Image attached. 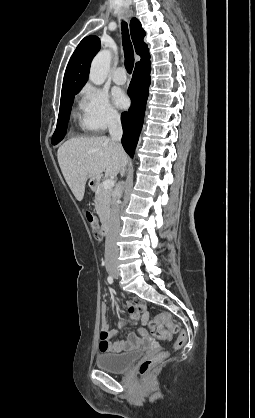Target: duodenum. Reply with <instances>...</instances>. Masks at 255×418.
<instances>
[{
	"instance_id": "410a0bca",
	"label": "duodenum",
	"mask_w": 255,
	"mask_h": 418,
	"mask_svg": "<svg viewBox=\"0 0 255 418\" xmlns=\"http://www.w3.org/2000/svg\"><path fill=\"white\" fill-rule=\"evenodd\" d=\"M96 185H97V183L95 182L93 184V187H96ZM108 232H109V222H108L107 219H103L102 222H101V225H100L99 233H100L101 236L104 237L108 234Z\"/></svg>"
}]
</instances>
